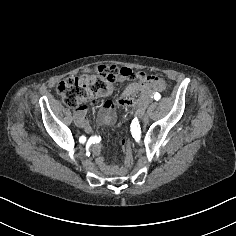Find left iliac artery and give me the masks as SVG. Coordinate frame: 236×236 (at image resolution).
Here are the masks:
<instances>
[{"label": "left iliac artery", "mask_w": 236, "mask_h": 236, "mask_svg": "<svg viewBox=\"0 0 236 236\" xmlns=\"http://www.w3.org/2000/svg\"><path fill=\"white\" fill-rule=\"evenodd\" d=\"M160 98H161V95H160L158 92H156V93L154 94V99H155L156 101H158Z\"/></svg>", "instance_id": "44dca946"}]
</instances>
